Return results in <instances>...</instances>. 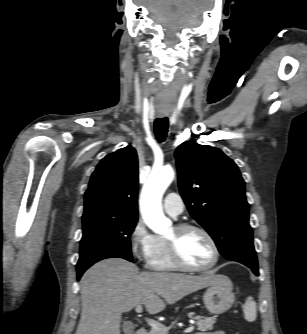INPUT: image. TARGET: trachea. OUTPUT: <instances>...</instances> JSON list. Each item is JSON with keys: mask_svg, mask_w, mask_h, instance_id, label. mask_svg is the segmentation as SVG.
I'll use <instances>...</instances> for the list:
<instances>
[{"mask_svg": "<svg viewBox=\"0 0 307 334\" xmlns=\"http://www.w3.org/2000/svg\"><path fill=\"white\" fill-rule=\"evenodd\" d=\"M169 121L167 117L158 118L154 123V132L158 142L162 143L165 141L168 132Z\"/></svg>", "mask_w": 307, "mask_h": 334, "instance_id": "obj_1", "label": "trachea"}]
</instances>
